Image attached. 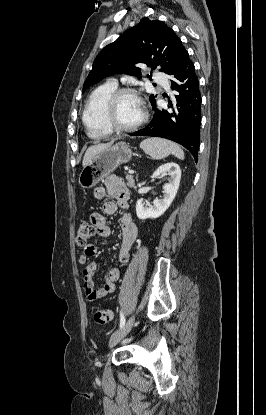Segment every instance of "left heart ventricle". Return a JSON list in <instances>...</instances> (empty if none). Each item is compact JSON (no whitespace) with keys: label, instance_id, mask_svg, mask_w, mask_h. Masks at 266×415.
<instances>
[{"label":"left heart ventricle","instance_id":"1","mask_svg":"<svg viewBox=\"0 0 266 415\" xmlns=\"http://www.w3.org/2000/svg\"><path fill=\"white\" fill-rule=\"evenodd\" d=\"M143 109L140 101L131 94L123 95L116 106V119L122 125H133L142 116Z\"/></svg>","mask_w":266,"mask_h":415}]
</instances>
